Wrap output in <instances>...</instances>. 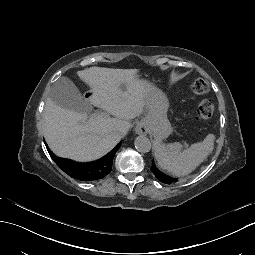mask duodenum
I'll return each instance as SVG.
<instances>
[{
	"mask_svg": "<svg viewBox=\"0 0 255 255\" xmlns=\"http://www.w3.org/2000/svg\"><path fill=\"white\" fill-rule=\"evenodd\" d=\"M86 96L89 97V98H91V93L87 94Z\"/></svg>",
	"mask_w": 255,
	"mask_h": 255,
	"instance_id": "obj_1",
	"label": "duodenum"
}]
</instances>
